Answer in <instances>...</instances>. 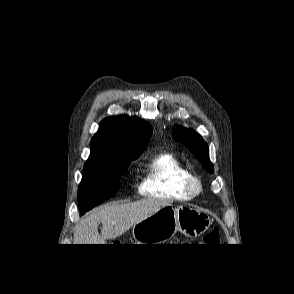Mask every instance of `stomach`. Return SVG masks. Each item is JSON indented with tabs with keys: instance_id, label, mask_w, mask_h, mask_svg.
I'll return each mask as SVG.
<instances>
[{
	"instance_id": "1",
	"label": "stomach",
	"mask_w": 294,
	"mask_h": 294,
	"mask_svg": "<svg viewBox=\"0 0 294 294\" xmlns=\"http://www.w3.org/2000/svg\"><path fill=\"white\" fill-rule=\"evenodd\" d=\"M210 224L209 215L203 211L186 205H168L135 224L133 238L136 244H163L177 232L188 238L198 237Z\"/></svg>"
}]
</instances>
